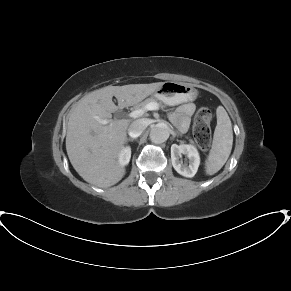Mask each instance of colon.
Instances as JSON below:
<instances>
[{
    "label": "colon",
    "mask_w": 291,
    "mask_h": 291,
    "mask_svg": "<svg viewBox=\"0 0 291 291\" xmlns=\"http://www.w3.org/2000/svg\"><path fill=\"white\" fill-rule=\"evenodd\" d=\"M212 117V111L203 107L197 112L193 122L194 140L204 150L208 149L211 141L210 122Z\"/></svg>",
    "instance_id": "1"
}]
</instances>
